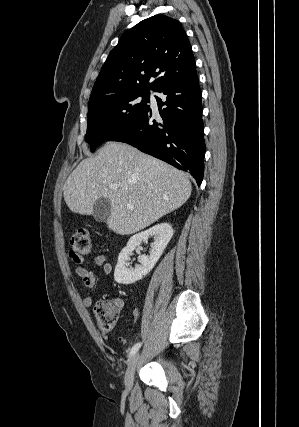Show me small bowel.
Masks as SVG:
<instances>
[{"label":"small bowel","instance_id":"small-bowel-1","mask_svg":"<svg viewBox=\"0 0 299 427\" xmlns=\"http://www.w3.org/2000/svg\"><path fill=\"white\" fill-rule=\"evenodd\" d=\"M94 264L101 268V273L108 276L112 272V266L107 262V258L104 254L97 255L94 258ZM76 275L82 280L86 288H93L96 285V278L92 271L88 270L81 262L75 267ZM94 303V297L90 294L84 296L83 305L85 307H91ZM114 306L121 311L124 307V301L122 299H115ZM138 311H135V317L137 318Z\"/></svg>","mask_w":299,"mask_h":427}]
</instances>
